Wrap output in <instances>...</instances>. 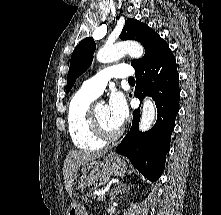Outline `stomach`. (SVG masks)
<instances>
[{"label":"stomach","instance_id":"obj_1","mask_svg":"<svg viewBox=\"0 0 221 215\" xmlns=\"http://www.w3.org/2000/svg\"><path fill=\"white\" fill-rule=\"evenodd\" d=\"M127 170L126 162L116 154H108L103 161L93 160L81 167V175L78 178V189L87 186L105 185L111 176H124ZM66 215H87L85 208L73 202L67 209Z\"/></svg>","mask_w":221,"mask_h":215}]
</instances>
